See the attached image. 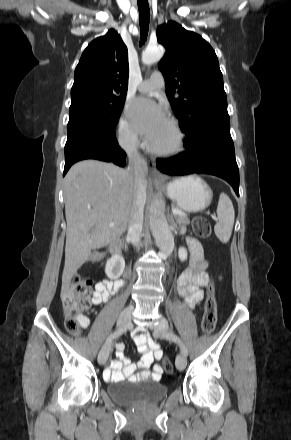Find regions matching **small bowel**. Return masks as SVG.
<instances>
[{
    "label": "small bowel",
    "mask_w": 291,
    "mask_h": 440,
    "mask_svg": "<svg viewBox=\"0 0 291 440\" xmlns=\"http://www.w3.org/2000/svg\"><path fill=\"white\" fill-rule=\"evenodd\" d=\"M186 243L190 251V266L184 271L177 281V293L184 298L185 304L189 307L199 306L205 297L204 288L208 284L206 269L208 262L204 257L201 243L193 238L187 237ZM121 281H103L97 283L93 294V302L99 304L108 302L112 295L116 294L122 287ZM78 321L83 328L90 326V319L81 316ZM138 352L142 355L138 363H132L122 352V346H118L117 358L110 362L109 367L104 371V379L120 381L124 378L129 380L157 379L163 372L160 364L154 363L162 358V351L159 345L153 341L148 334H134ZM152 367V370L148 369ZM142 369L141 372H138Z\"/></svg>",
    "instance_id": "c3829d8e"
}]
</instances>
